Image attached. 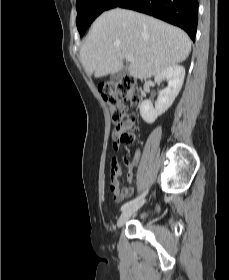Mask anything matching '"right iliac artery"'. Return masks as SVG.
I'll list each match as a JSON object with an SVG mask.
<instances>
[{"label": "right iliac artery", "mask_w": 229, "mask_h": 280, "mask_svg": "<svg viewBox=\"0 0 229 280\" xmlns=\"http://www.w3.org/2000/svg\"><path fill=\"white\" fill-rule=\"evenodd\" d=\"M148 190L144 191L139 197H137L136 199H133L129 202H126L122 207H121V211L126 210L127 208L133 206L134 204L138 203L140 200H142L145 195L147 194Z\"/></svg>", "instance_id": "right-iliac-artery-1"}]
</instances>
